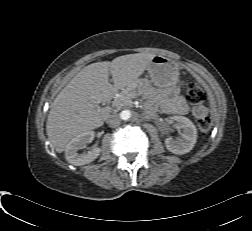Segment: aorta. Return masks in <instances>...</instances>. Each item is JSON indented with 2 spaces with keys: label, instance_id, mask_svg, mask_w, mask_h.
Segmentation results:
<instances>
[{
  "label": "aorta",
  "instance_id": "1",
  "mask_svg": "<svg viewBox=\"0 0 252 231\" xmlns=\"http://www.w3.org/2000/svg\"><path fill=\"white\" fill-rule=\"evenodd\" d=\"M132 116V113L130 110H123L121 113H120V117L122 120H129Z\"/></svg>",
  "mask_w": 252,
  "mask_h": 231
}]
</instances>
